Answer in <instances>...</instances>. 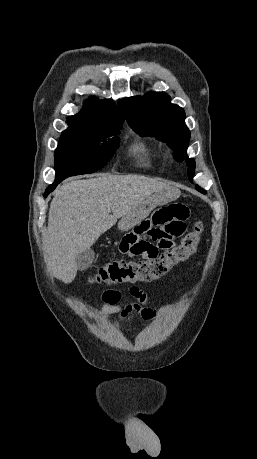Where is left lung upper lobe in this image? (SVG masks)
I'll use <instances>...</instances> for the list:
<instances>
[{
  "mask_svg": "<svg viewBox=\"0 0 257 459\" xmlns=\"http://www.w3.org/2000/svg\"><path fill=\"white\" fill-rule=\"evenodd\" d=\"M127 123L141 136H155L174 149L177 161L186 160L188 176L192 182L195 162L186 154L190 131L185 125V112L165 93L148 92L144 96H134L122 100ZM205 194L206 191L196 186Z\"/></svg>",
  "mask_w": 257,
  "mask_h": 459,
  "instance_id": "1",
  "label": "left lung upper lobe"
}]
</instances>
